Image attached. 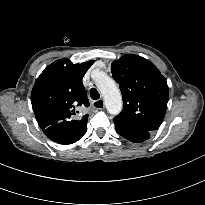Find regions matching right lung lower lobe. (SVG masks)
I'll return each mask as SVG.
<instances>
[{
  "label": "right lung lower lobe",
  "mask_w": 205,
  "mask_h": 205,
  "mask_svg": "<svg viewBox=\"0 0 205 205\" xmlns=\"http://www.w3.org/2000/svg\"><path fill=\"white\" fill-rule=\"evenodd\" d=\"M56 131H57V128L55 126H50L43 130L46 136L50 138L51 140H53L54 142H57L59 144H71V143H67V141L62 139L61 137H58L55 133Z\"/></svg>",
  "instance_id": "98d812e1"
}]
</instances>
